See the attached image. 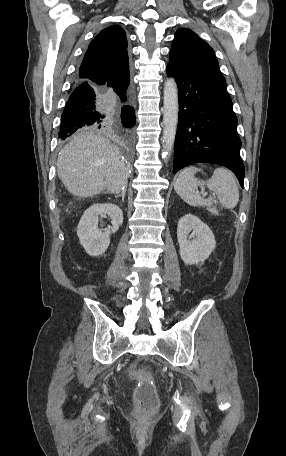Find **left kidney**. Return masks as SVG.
Here are the masks:
<instances>
[{"label": "left kidney", "mask_w": 286, "mask_h": 456, "mask_svg": "<svg viewBox=\"0 0 286 456\" xmlns=\"http://www.w3.org/2000/svg\"><path fill=\"white\" fill-rule=\"evenodd\" d=\"M190 232H192L191 235H189ZM177 239L180 257L188 265H202L216 246L215 237L210 228L192 214H186L179 220Z\"/></svg>", "instance_id": "obj_1"}]
</instances>
